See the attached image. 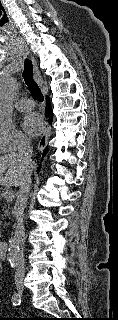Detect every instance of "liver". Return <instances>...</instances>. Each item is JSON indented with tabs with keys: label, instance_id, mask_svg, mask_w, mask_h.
I'll list each match as a JSON object with an SVG mask.
<instances>
[{
	"label": "liver",
	"instance_id": "1",
	"mask_svg": "<svg viewBox=\"0 0 118 320\" xmlns=\"http://www.w3.org/2000/svg\"><path fill=\"white\" fill-rule=\"evenodd\" d=\"M33 164L31 165L32 168ZM25 166L16 154L0 156V184L3 186H20L24 177Z\"/></svg>",
	"mask_w": 118,
	"mask_h": 320
}]
</instances>
